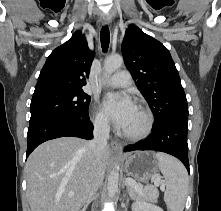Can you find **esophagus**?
Listing matches in <instances>:
<instances>
[{
    "mask_svg": "<svg viewBox=\"0 0 221 211\" xmlns=\"http://www.w3.org/2000/svg\"><path fill=\"white\" fill-rule=\"evenodd\" d=\"M101 21L104 25L110 24L111 23V17L109 15H103L101 17ZM111 147H112V150L115 153H121V151H122V145L116 140H112Z\"/></svg>",
    "mask_w": 221,
    "mask_h": 211,
    "instance_id": "34e87169",
    "label": "esophagus"
}]
</instances>
